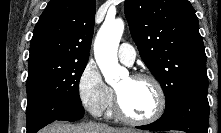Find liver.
Returning a JSON list of instances; mask_svg holds the SVG:
<instances>
[{"label":"liver","instance_id":"1","mask_svg":"<svg viewBox=\"0 0 221 133\" xmlns=\"http://www.w3.org/2000/svg\"><path fill=\"white\" fill-rule=\"evenodd\" d=\"M40 133H137L132 129H118L97 123H81L78 125L55 122L45 127Z\"/></svg>","mask_w":221,"mask_h":133}]
</instances>
